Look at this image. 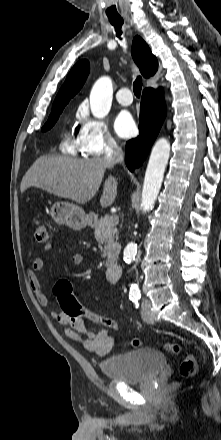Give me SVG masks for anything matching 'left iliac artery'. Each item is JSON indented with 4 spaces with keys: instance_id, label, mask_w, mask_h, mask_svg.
Instances as JSON below:
<instances>
[{
    "instance_id": "obj_1",
    "label": "left iliac artery",
    "mask_w": 221,
    "mask_h": 440,
    "mask_svg": "<svg viewBox=\"0 0 221 440\" xmlns=\"http://www.w3.org/2000/svg\"><path fill=\"white\" fill-rule=\"evenodd\" d=\"M140 297H141V295H137V296H134L133 298L139 299Z\"/></svg>"
}]
</instances>
